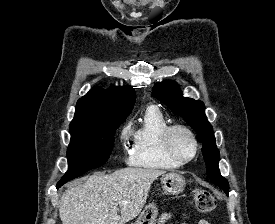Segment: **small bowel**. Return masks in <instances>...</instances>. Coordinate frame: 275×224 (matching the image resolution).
<instances>
[{
	"label": "small bowel",
	"mask_w": 275,
	"mask_h": 224,
	"mask_svg": "<svg viewBox=\"0 0 275 224\" xmlns=\"http://www.w3.org/2000/svg\"><path fill=\"white\" fill-rule=\"evenodd\" d=\"M171 216H172L171 213H164L159 220V224H166L167 221L171 218ZM197 224H210V223L205 219H201Z\"/></svg>",
	"instance_id": "small-bowel-1"
}]
</instances>
